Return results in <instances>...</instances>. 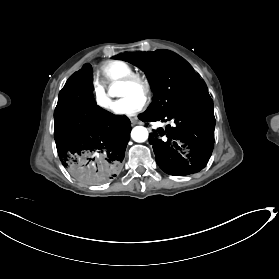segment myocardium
<instances>
[{
    "label": "myocardium",
    "instance_id": "f54148a6",
    "mask_svg": "<svg viewBox=\"0 0 279 279\" xmlns=\"http://www.w3.org/2000/svg\"><path fill=\"white\" fill-rule=\"evenodd\" d=\"M119 85H127L130 87L138 88L141 91L142 97L144 99L150 98L151 94V84L149 80L137 73H131L124 77Z\"/></svg>",
    "mask_w": 279,
    "mask_h": 279
}]
</instances>
